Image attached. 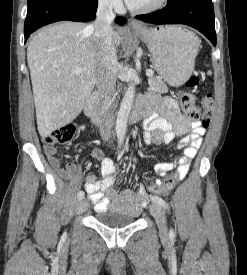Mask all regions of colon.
I'll use <instances>...</instances> for the list:
<instances>
[{
	"label": "colon",
	"instance_id": "colon-1",
	"mask_svg": "<svg viewBox=\"0 0 247 275\" xmlns=\"http://www.w3.org/2000/svg\"><path fill=\"white\" fill-rule=\"evenodd\" d=\"M199 83V78L197 75L192 74L186 81L185 86L188 88L196 87ZM180 103L183 111L190 119H198L201 115L200 109L196 106V96L189 91L181 93ZM213 97L208 94L202 99V123L205 128L210 124L212 114H213ZM77 128L74 124H66L61 127L56 128L52 133L44 137V143L47 145H57L66 144L70 142L76 135ZM177 176L173 175L166 178L162 182H157L155 184L146 187V190L150 193H164L169 191L175 184Z\"/></svg>",
	"mask_w": 247,
	"mask_h": 275
}]
</instances>
